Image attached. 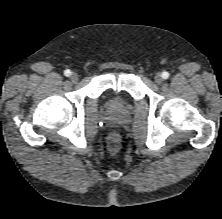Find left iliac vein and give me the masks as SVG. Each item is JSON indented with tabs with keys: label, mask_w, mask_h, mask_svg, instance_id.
Instances as JSON below:
<instances>
[{
	"label": "left iliac vein",
	"mask_w": 222,
	"mask_h": 219,
	"mask_svg": "<svg viewBox=\"0 0 222 219\" xmlns=\"http://www.w3.org/2000/svg\"><path fill=\"white\" fill-rule=\"evenodd\" d=\"M154 80L157 84H161L163 82V77L160 73H157L154 77Z\"/></svg>",
	"instance_id": "4c4485c4"
}]
</instances>
